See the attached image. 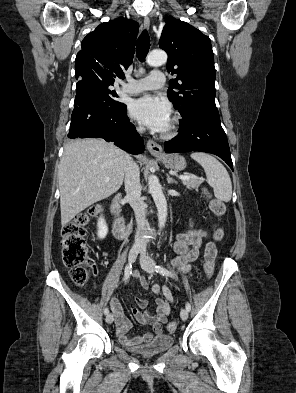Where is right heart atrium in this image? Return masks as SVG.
Returning a JSON list of instances; mask_svg holds the SVG:
<instances>
[{"label": "right heart atrium", "instance_id": "obj_1", "mask_svg": "<svg viewBox=\"0 0 296 393\" xmlns=\"http://www.w3.org/2000/svg\"><path fill=\"white\" fill-rule=\"evenodd\" d=\"M137 129H138V130H141V129H142V127H141L140 125H138V126H137Z\"/></svg>", "mask_w": 296, "mask_h": 393}]
</instances>
